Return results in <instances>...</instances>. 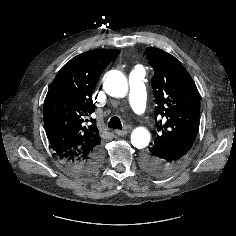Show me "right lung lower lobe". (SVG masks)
I'll use <instances>...</instances> for the list:
<instances>
[{"instance_id":"1","label":"right lung lower lobe","mask_w":236,"mask_h":236,"mask_svg":"<svg viewBox=\"0 0 236 236\" xmlns=\"http://www.w3.org/2000/svg\"><path fill=\"white\" fill-rule=\"evenodd\" d=\"M104 159L103 150L101 147L95 149V151L83 161L77 160H63L62 162L72 171L76 173L91 174L100 169Z\"/></svg>"}]
</instances>
